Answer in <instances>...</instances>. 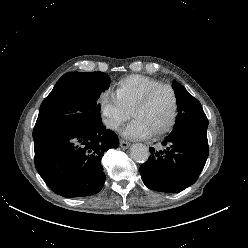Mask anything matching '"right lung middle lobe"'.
<instances>
[{
    "mask_svg": "<svg viewBox=\"0 0 248 248\" xmlns=\"http://www.w3.org/2000/svg\"><path fill=\"white\" fill-rule=\"evenodd\" d=\"M103 72H69L56 83L40 106L36 124L100 126V94L109 88Z\"/></svg>",
    "mask_w": 248,
    "mask_h": 248,
    "instance_id": "1",
    "label": "right lung middle lobe"
}]
</instances>
